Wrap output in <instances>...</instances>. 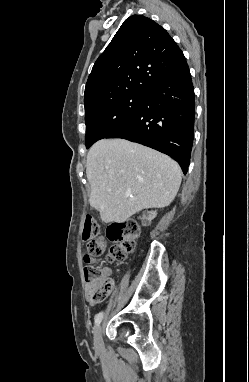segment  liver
Returning a JSON list of instances; mask_svg holds the SVG:
<instances>
[{"mask_svg": "<svg viewBox=\"0 0 249 382\" xmlns=\"http://www.w3.org/2000/svg\"><path fill=\"white\" fill-rule=\"evenodd\" d=\"M89 202L105 223L125 222L147 208H164L181 184L177 162L125 139H102L87 154Z\"/></svg>", "mask_w": 249, "mask_h": 382, "instance_id": "1", "label": "liver"}]
</instances>
